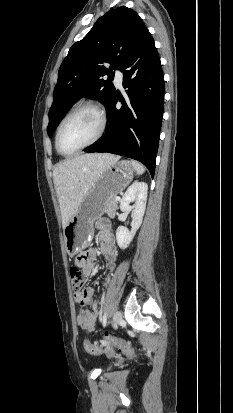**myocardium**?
Returning <instances> with one entry per match:
<instances>
[{"instance_id":"1","label":"myocardium","mask_w":233,"mask_h":413,"mask_svg":"<svg viewBox=\"0 0 233 413\" xmlns=\"http://www.w3.org/2000/svg\"><path fill=\"white\" fill-rule=\"evenodd\" d=\"M84 109H91L93 111H95L97 113V115L99 116V120H100V126H99V130L97 132V134L95 135V137L89 141L88 143H86L85 145L79 147L78 149L72 151V152H64L61 149L60 146V136H61V132L64 128V126L66 125V123L75 115L77 114L79 111L84 110ZM106 126H107V117H106V113L104 111V109L97 103H93V102H84L82 104H79L78 106H76L60 123L58 129H57V133H56V137H55V144H56V148L58 150V152L64 156H72L88 147H90L91 145H93L94 143H96L98 140H100V138L103 136V134L105 133L106 130Z\"/></svg>"}]
</instances>
